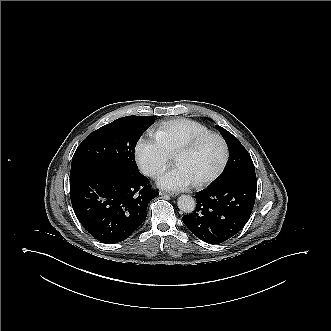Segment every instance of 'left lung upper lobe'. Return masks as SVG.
<instances>
[{"label": "left lung upper lobe", "mask_w": 331, "mask_h": 331, "mask_svg": "<svg viewBox=\"0 0 331 331\" xmlns=\"http://www.w3.org/2000/svg\"><path fill=\"white\" fill-rule=\"evenodd\" d=\"M217 129L222 134L229 148V160L215 185H222L235 180L257 184L254 164L247 150L226 129L221 126H217Z\"/></svg>", "instance_id": "1"}]
</instances>
